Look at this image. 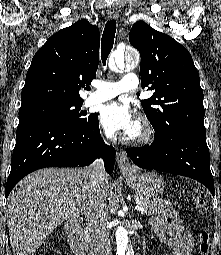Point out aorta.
<instances>
[{
    "mask_svg": "<svg viewBox=\"0 0 221 255\" xmlns=\"http://www.w3.org/2000/svg\"><path fill=\"white\" fill-rule=\"evenodd\" d=\"M114 59L115 64L119 69H124L125 67L134 69L139 63L138 56L133 52L124 55V53L117 51L114 53ZM116 238L118 243L117 255H134L127 231L123 227L118 228Z\"/></svg>",
    "mask_w": 221,
    "mask_h": 255,
    "instance_id": "762f6f07",
    "label": "aorta"
}]
</instances>
